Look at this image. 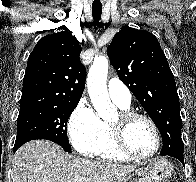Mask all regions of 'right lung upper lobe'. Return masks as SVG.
<instances>
[{"instance_id":"1","label":"right lung upper lobe","mask_w":196,"mask_h":182,"mask_svg":"<svg viewBox=\"0 0 196 182\" xmlns=\"http://www.w3.org/2000/svg\"><path fill=\"white\" fill-rule=\"evenodd\" d=\"M80 53L81 46L67 31L41 38L28 58L21 107L79 102L86 81Z\"/></svg>"}]
</instances>
